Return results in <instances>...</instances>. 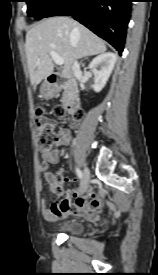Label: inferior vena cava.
I'll return each mask as SVG.
<instances>
[{"mask_svg": "<svg viewBox=\"0 0 158 275\" xmlns=\"http://www.w3.org/2000/svg\"><path fill=\"white\" fill-rule=\"evenodd\" d=\"M72 71L76 77L81 75L80 64L78 61H74L72 65Z\"/></svg>", "mask_w": 158, "mask_h": 275, "instance_id": "inferior-vena-cava-1", "label": "inferior vena cava"}]
</instances>
